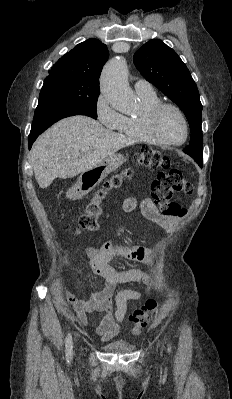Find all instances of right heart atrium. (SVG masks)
I'll return each instance as SVG.
<instances>
[{
  "label": "right heart atrium",
  "mask_w": 232,
  "mask_h": 399,
  "mask_svg": "<svg viewBox=\"0 0 232 399\" xmlns=\"http://www.w3.org/2000/svg\"><path fill=\"white\" fill-rule=\"evenodd\" d=\"M109 104L110 103H105V96L100 97L98 104L95 106L96 119L100 120V125H108V129H115L122 118V114L112 109Z\"/></svg>",
  "instance_id": "d8ad5b80"
}]
</instances>
